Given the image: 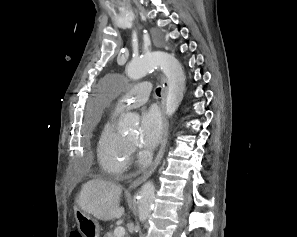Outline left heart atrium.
Masks as SVG:
<instances>
[{
	"label": "left heart atrium",
	"instance_id": "1",
	"mask_svg": "<svg viewBox=\"0 0 297 237\" xmlns=\"http://www.w3.org/2000/svg\"><path fill=\"white\" fill-rule=\"evenodd\" d=\"M163 134V119L156 107L145 109L140 117V131L138 144L143 148H154L157 146Z\"/></svg>",
	"mask_w": 297,
	"mask_h": 237
}]
</instances>
